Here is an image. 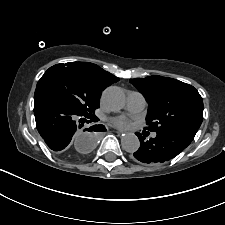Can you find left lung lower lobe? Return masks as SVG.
<instances>
[{"label": "left lung lower lobe", "instance_id": "0a47b994", "mask_svg": "<svg viewBox=\"0 0 225 225\" xmlns=\"http://www.w3.org/2000/svg\"><path fill=\"white\" fill-rule=\"evenodd\" d=\"M199 128L182 127L157 133L155 138L146 140L148 131L136 133L140 140L139 149L133 159L147 165H159L176 157L194 139Z\"/></svg>", "mask_w": 225, "mask_h": 225}]
</instances>
